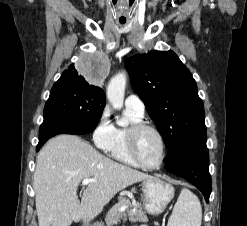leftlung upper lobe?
Returning a JSON list of instances; mask_svg holds the SVG:
<instances>
[{"label": "left lung upper lobe", "instance_id": "1", "mask_svg": "<svg viewBox=\"0 0 247 226\" xmlns=\"http://www.w3.org/2000/svg\"><path fill=\"white\" fill-rule=\"evenodd\" d=\"M125 67L169 153L206 137L204 106L196 82L173 51L137 54L125 60Z\"/></svg>", "mask_w": 247, "mask_h": 226}]
</instances>
